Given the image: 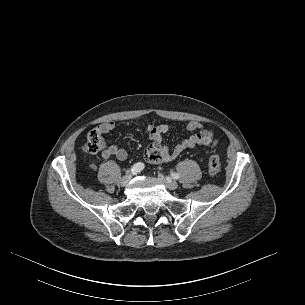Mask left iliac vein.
<instances>
[{
  "label": "left iliac vein",
  "instance_id": "left-iliac-vein-1",
  "mask_svg": "<svg viewBox=\"0 0 305 305\" xmlns=\"http://www.w3.org/2000/svg\"><path fill=\"white\" fill-rule=\"evenodd\" d=\"M158 180L170 190H175L178 188V183L176 181L166 178L161 173L158 174Z\"/></svg>",
  "mask_w": 305,
  "mask_h": 305
}]
</instances>
